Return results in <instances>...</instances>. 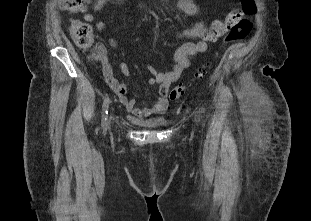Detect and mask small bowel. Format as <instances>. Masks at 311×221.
Returning <instances> with one entry per match:
<instances>
[{
	"label": "small bowel",
	"mask_w": 311,
	"mask_h": 221,
	"mask_svg": "<svg viewBox=\"0 0 311 221\" xmlns=\"http://www.w3.org/2000/svg\"><path fill=\"white\" fill-rule=\"evenodd\" d=\"M112 0H97L92 9L85 13L84 20L86 22H93L96 15L103 9V7ZM177 7L179 10L189 16H195L200 14L199 7L193 0H178ZM96 28L102 31L105 28L103 22H98ZM205 32V22L200 19L196 24L183 32V37L191 39H199L197 42H187L182 44L174 54V63L172 68L168 71L161 72L154 65H148L147 70L151 77L148 79L149 85H158V97L154 104L145 108H139L136 106L134 98H128L126 93V86L117 81L116 85L111 87L118 97L119 101L126 107V109L137 118H146L154 115H160L164 113L168 106V95L171 85L179 78L185 69L190 65L191 58L204 53L207 50V43L201 40ZM109 45L112 49H118V43L115 39H109ZM96 52L98 53L104 74H112V68L109 63L107 49L104 44H98L96 46ZM120 70L124 76L130 75L129 66L125 62L120 63Z\"/></svg>",
	"instance_id": "obj_1"
}]
</instances>
